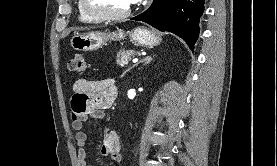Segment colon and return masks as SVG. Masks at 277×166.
I'll return each mask as SVG.
<instances>
[{"label": "colon", "instance_id": "obj_1", "mask_svg": "<svg viewBox=\"0 0 277 166\" xmlns=\"http://www.w3.org/2000/svg\"><path fill=\"white\" fill-rule=\"evenodd\" d=\"M87 62L83 55L77 54L68 62V69L71 72L82 74L86 71Z\"/></svg>", "mask_w": 277, "mask_h": 166}]
</instances>
